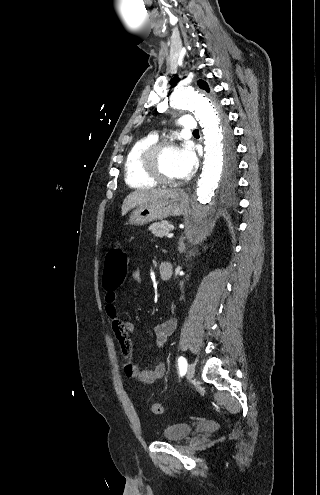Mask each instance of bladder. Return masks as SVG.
<instances>
[{"instance_id": "31cf9c89", "label": "bladder", "mask_w": 320, "mask_h": 495, "mask_svg": "<svg viewBox=\"0 0 320 495\" xmlns=\"http://www.w3.org/2000/svg\"><path fill=\"white\" fill-rule=\"evenodd\" d=\"M193 430L190 423L180 422L166 426L162 431V438L169 442H178L188 437Z\"/></svg>"}]
</instances>
